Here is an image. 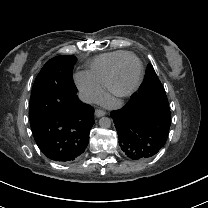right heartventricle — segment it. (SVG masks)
Instances as JSON below:
<instances>
[{
	"mask_svg": "<svg viewBox=\"0 0 208 208\" xmlns=\"http://www.w3.org/2000/svg\"><path fill=\"white\" fill-rule=\"evenodd\" d=\"M130 54L133 53L126 50L101 54L91 61L87 74L97 85L104 88L116 63Z\"/></svg>",
	"mask_w": 208,
	"mask_h": 208,
	"instance_id": "right-heart-ventricle-1",
	"label": "right heart ventricle"
}]
</instances>
